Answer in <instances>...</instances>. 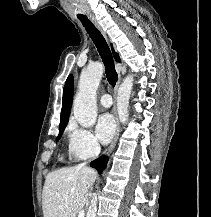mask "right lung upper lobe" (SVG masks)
<instances>
[{
  "label": "right lung upper lobe",
  "mask_w": 211,
  "mask_h": 217,
  "mask_svg": "<svg viewBox=\"0 0 211 217\" xmlns=\"http://www.w3.org/2000/svg\"><path fill=\"white\" fill-rule=\"evenodd\" d=\"M114 57L117 61H120L119 56L117 53L114 52L112 49ZM73 99V76L69 75L64 89H63V104H62V110H61V122L59 125V129L66 127L70 115V109Z\"/></svg>",
  "instance_id": "obj_1"
}]
</instances>
